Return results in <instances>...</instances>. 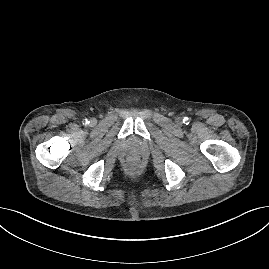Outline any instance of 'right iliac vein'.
Wrapping results in <instances>:
<instances>
[{"label": "right iliac vein", "mask_w": 269, "mask_h": 269, "mask_svg": "<svg viewBox=\"0 0 269 269\" xmlns=\"http://www.w3.org/2000/svg\"><path fill=\"white\" fill-rule=\"evenodd\" d=\"M95 123V120L93 119V120H91V124H94Z\"/></svg>", "instance_id": "1"}]
</instances>
